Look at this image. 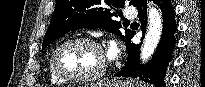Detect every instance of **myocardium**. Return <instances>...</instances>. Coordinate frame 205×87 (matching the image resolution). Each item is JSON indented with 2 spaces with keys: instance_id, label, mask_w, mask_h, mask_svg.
<instances>
[{
  "instance_id": "myocardium-1",
  "label": "myocardium",
  "mask_w": 205,
  "mask_h": 87,
  "mask_svg": "<svg viewBox=\"0 0 205 87\" xmlns=\"http://www.w3.org/2000/svg\"><path fill=\"white\" fill-rule=\"evenodd\" d=\"M74 43H86V44L92 45L93 47L97 48L102 53L103 61L98 71L92 74H86V75H71L59 69L58 61H57L59 53L61 52L63 48H65L66 46L70 44H74ZM50 65H51L52 72L64 82L87 83V82L96 81L104 75L107 69V58L105 56V52H104L102 45L96 39L92 37H88V36H79V37H73V38L67 39L63 41L61 44H59L52 53V56L50 59Z\"/></svg>"
}]
</instances>
